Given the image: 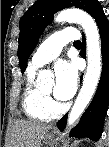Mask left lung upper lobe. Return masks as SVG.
<instances>
[{"instance_id": "obj_1", "label": "left lung upper lobe", "mask_w": 109, "mask_h": 147, "mask_svg": "<svg viewBox=\"0 0 109 147\" xmlns=\"http://www.w3.org/2000/svg\"><path fill=\"white\" fill-rule=\"evenodd\" d=\"M99 4L97 0H37L20 19L18 57L21 71L56 12L75 6L91 14Z\"/></svg>"}]
</instances>
